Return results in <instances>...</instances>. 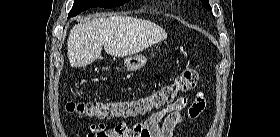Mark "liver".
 <instances>
[{
  "mask_svg": "<svg viewBox=\"0 0 280 137\" xmlns=\"http://www.w3.org/2000/svg\"><path fill=\"white\" fill-rule=\"evenodd\" d=\"M166 38V31L148 20L98 17L73 26L67 40V55L71 67H84L101 58L102 48L109 55L124 57Z\"/></svg>",
  "mask_w": 280,
  "mask_h": 137,
  "instance_id": "6515ba94",
  "label": "liver"
}]
</instances>
